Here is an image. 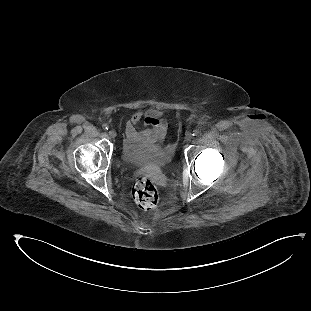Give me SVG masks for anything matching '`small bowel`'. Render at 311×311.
<instances>
[{"instance_id": "1", "label": "small bowel", "mask_w": 311, "mask_h": 311, "mask_svg": "<svg viewBox=\"0 0 311 311\" xmlns=\"http://www.w3.org/2000/svg\"><path fill=\"white\" fill-rule=\"evenodd\" d=\"M143 122L145 128H139ZM167 132V123L156 110H139L134 112L125 128L127 144L130 147L140 144L161 142Z\"/></svg>"}]
</instances>
